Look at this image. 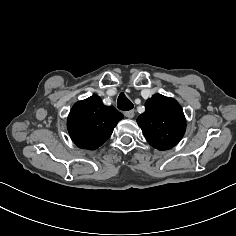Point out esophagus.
<instances>
[{"mask_svg": "<svg viewBox=\"0 0 236 236\" xmlns=\"http://www.w3.org/2000/svg\"><path fill=\"white\" fill-rule=\"evenodd\" d=\"M124 115L127 117V118H133L135 113H134V110H129V111H126L124 112Z\"/></svg>", "mask_w": 236, "mask_h": 236, "instance_id": "esophagus-1", "label": "esophagus"}]
</instances>
